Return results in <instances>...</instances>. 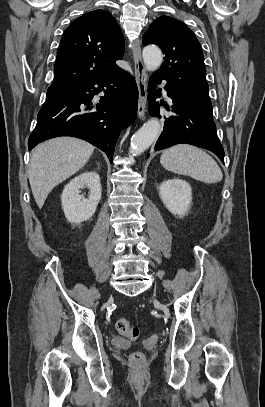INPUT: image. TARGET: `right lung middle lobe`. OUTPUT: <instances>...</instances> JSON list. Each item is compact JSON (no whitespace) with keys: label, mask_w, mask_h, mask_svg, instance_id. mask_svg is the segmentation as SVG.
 <instances>
[{"label":"right lung middle lobe","mask_w":265,"mask_h":407,"mask_svg":"<svg viewBox=\"0 0 265 407\" xmlns=\"http://www.w3.org/2000/svg\"><path fill=\"white\" fill-rule=\"evenodd\" d=\"M75 86L70 85H57V86H50L47 90L46 100L65 95L69 91H71Z\"/></svg>","instance_id":"obj_1"}]
</instances>
